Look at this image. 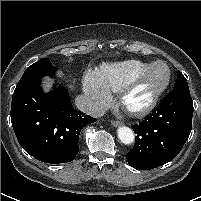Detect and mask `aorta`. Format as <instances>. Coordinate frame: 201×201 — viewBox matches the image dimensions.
I'll list each match as a JSON object with an SVG mask.
<instances>
[{
	"instance_id": "1",
	"label": "aorta",
	"mask_w": 201,
	"mask_h": 201,
	"mask_svg": "<svg viewBox=\"0 0 201 201\" xmlns=\"http://www.w3.org/2000/svg\"><path fill=\"white\" fill-rule=\"evenodd\" d=\"M117 135L120 141L124 144H131L135 138L133 131L125 126L118 128Z\"/></svg>"
}]
</instances>
